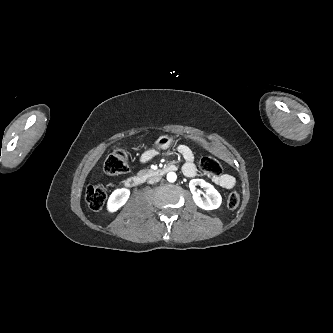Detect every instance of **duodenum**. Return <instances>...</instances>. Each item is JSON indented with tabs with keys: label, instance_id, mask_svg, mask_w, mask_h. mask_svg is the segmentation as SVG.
Listing matches in <instances>:
<instances>
[{
	"label": "duodenum",
	"instance_id": "410a0bca",
	"mask_svg": "<svg viewBox=\"0 0 333 333\" xmlns=\"http://www.w3.org/2000/svg\"><path fill=\"white\" fill-rule=\"evenodd\" d=\"M176 170L175 165H169L166 167L158 168L155 170H152L149 175L151 177H160L164 176L168 172ZM145 181V176L144 175H132L129 176L125 179L124 184L128 188H134L140 186L143 182Z\"/></svg>",
	"mask_w": 333,
	"mask_h": 333
}]
</instances>
